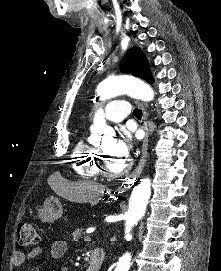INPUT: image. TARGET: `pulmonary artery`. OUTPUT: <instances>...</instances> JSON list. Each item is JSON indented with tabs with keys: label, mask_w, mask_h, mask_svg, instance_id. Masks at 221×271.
<instances>
[{
	"label": "pulmonary artery",
	"mask_w": 221,
	"mask_h": 271,
	"mask_svg": "<svg viewBox=\"0 0 221 271\" xmlns=\"http://www.w3.org/2000/svg\"><path fill=\"white\" fill-rule=\"evenodd\" d=\"M117 102H107V107H103V112H109V117H105V122H126L128 107H122V99L118 98ZM101 125L99 122L96 124Z\"/></svg>",
	"instance_id": "e3ab8cb5"
}]
</instances>
